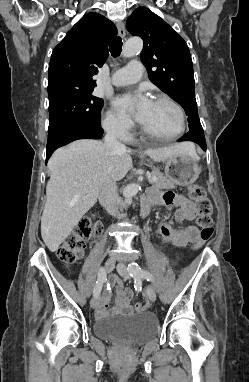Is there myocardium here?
<instances>
[{"instance_id": "myocardium-1", "label": "myocardium", "mask_w": 249, "mask_h": 382, "mask_svg": "<svg viewBox=\"0 0 249 382\" xmlns=\"http://www.w3.org/2000/svg\"><path fill=\"white\" fill-rule=\"evenodd\" d=\"M154 102H165L169 105H171L177 112L178 118H179V129L178 131L172 135V136H158L150 131H148L143 125H141V131L142 133L152 139H155L157 141H162V142H170L178 139L185 131V126H186V118H185V113L182 109V107L172 98L166 96V95H158L154 98Z\"/></svg>"}]
</instances>
